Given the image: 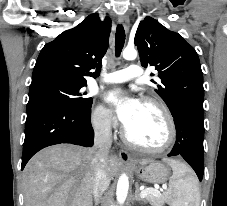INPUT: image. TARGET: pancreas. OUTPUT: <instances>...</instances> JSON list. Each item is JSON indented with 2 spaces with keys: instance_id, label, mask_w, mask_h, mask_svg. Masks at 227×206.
Here are the masks:
<instances>
[{
  "instance_id": "1",
  "label": "pancreas",
  "mask_w": 227,
  "mask_h": 206,
  "mask_svg": "<svg viewBox=\"0 0 227 206\" xmlns=\"http://www.w3.org/2000/svg\"><path fill=\"white\" fill-rule=\"evenodd\" d=\"M149 189V188H146ZM145 200L150 202L151 204L155 205V206H163L164 204V199L162 198V196H155L153 194H148L145 197Z\"/></svg>"
}]
</instances>
